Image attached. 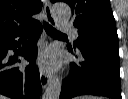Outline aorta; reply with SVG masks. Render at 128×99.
Returning <instances> with one entry per match:
<instances>
[{
    "label": "aorta",
    "instance_id": "obj_1",
    "mask_svg": "<svg viewBox=\"0 0 128 99\" xmlns=\"http://www.w3.org/2000/svg\"><path fill=\"white\" fill-rule=\"evenodd\" d=\"M55 18L59 21H67L71 17V9L64 2H57L52 7ZM61 93V81L58 78H54L43 95L42 99H59Z\"/></svg>",
    "mask_w": 128,
    "mask_h": 99
}]
</instances>
